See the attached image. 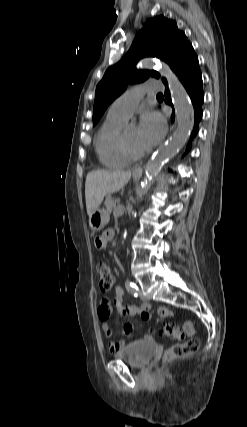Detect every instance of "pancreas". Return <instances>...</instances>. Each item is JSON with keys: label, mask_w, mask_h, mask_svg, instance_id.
Masks as SVG:
<instances>
[{"label": "pancreas", "mask_w": 247, "mask_h": 427, "mask_svg": "<svg viewBox=\"0 0 247 427\" xmlns=\"http://www.w3.org/2000/svg\"><path fill=\"white\" fill-rule=\"evenodd\" d=\"M116 202L115 200L108 195L105 199V206L108 212H111L113 208H115Z\"/></svg>", "instance_id": "obj_1"}]
</instances>
